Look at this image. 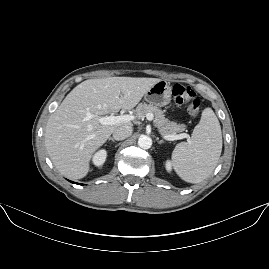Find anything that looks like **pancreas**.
<instances>
[{
	"instance_id": "cf45deb5",
	"label": "pancreas",
	"mask_w": 269,
	"mask_h": 269,
	"mask_svg": "<svg viewBox=\"0 0 269 269\" xmlns=\"http://www.w3.org/2000/svg\"><path fill=\"white\" fill-rule=\"evenodd\" d=\"M136 115L139 119L144 118L147 113H152L155 116L153 121L154 126L158 128L159 133L162 136L180 133L184 131V124H177L176 122H171L167 118H165L164 113L157 106H153L146 103H140L136 110Z\"/></svg>"
}]
</instances>
